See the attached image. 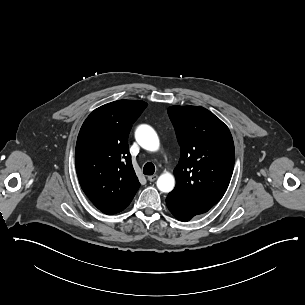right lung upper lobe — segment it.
I'll use <instances>...</instances> for the list:
<instances>
[{"mask_svg": "<svg viewBox=\"0 0 305 305\" xmlns=\"http://www.w3.org/2000/svg\"><path fill=\"white\" fill-rule=\"evenodd\" d=\"M143 101L119 100L95 109L83 123L76 144L80 185L105 214L124 210L140 183L128 148L132 123L146 108Z\"/></svg>", "mask_w": 305, "mask_h": 305, "instance_id": "obj_1", "label": "right lung upper lobe"}]
</instances>
